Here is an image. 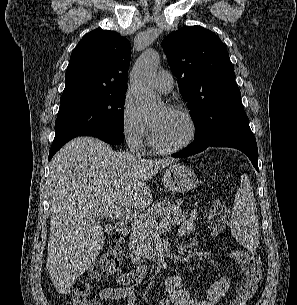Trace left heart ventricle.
I'll use <instances>...</instances> for the list:
<instances>
[{
	"instance_id": "obj_1",
	"label": "left heart ventricle",
	"mask_w": 297,
	"mask_h": 305,
	"mask_svg": "<svg viewBox=\"0 0 297 305\" xmlns=\"http://www.w3.org/2000/svg\"><path fill=\"white\" fill-rule=\"evenodd\" d=\"M155 141L163 147H171L184 141L189 134L187 121L166 109L156 112L150 119Z\"/></svg>"
}]
</instances>
